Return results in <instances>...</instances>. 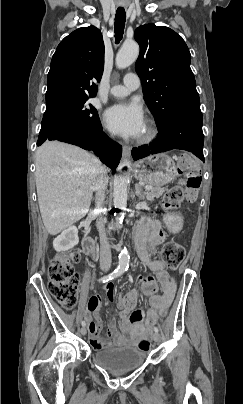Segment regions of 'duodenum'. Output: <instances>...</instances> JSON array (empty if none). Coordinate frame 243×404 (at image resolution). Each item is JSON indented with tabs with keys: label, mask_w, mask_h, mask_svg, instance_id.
I'll return each instance as SVG.
<instances>
[{
	"label": "duodenum",
	"mask_w": 243,
	"mask_h": 404,
	"mask_svg": "<svg viewBox=\"0 0 243 404\" xmlns=\"http://www.w3.org/2000/svg\"><path fill=\"white\" fill-rule=\"evenodd\" d=\"M83 250L86 254L88 255H92L94 253V245H93V241L90 237L86 236L83 238Z\"/></svg>",
	"instance_id": "1"
}]
</instances>
